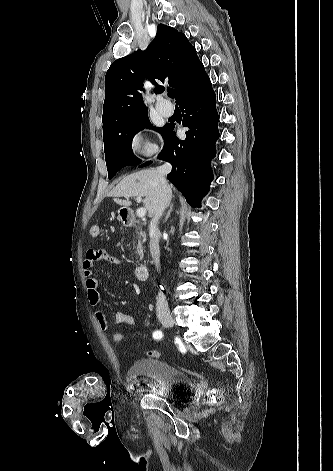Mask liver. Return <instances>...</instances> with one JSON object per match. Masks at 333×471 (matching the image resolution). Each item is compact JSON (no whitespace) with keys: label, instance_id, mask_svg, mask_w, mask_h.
I'll return each instance as SVG.
<instances>
[{"label":"liver","instance_id":"1","mask_svg":"<svg viewBox=\"0 0 333 471\" xmlns=\"http://www.w3.org/2000/svg\"><path fill=\"white\" fill-rule=\"evenodd\" d=\"M160 192L157 171L145 169L126 176L111 190L108 196L113 197L117 204L128 207L132 204L129 198L140 195L144 197L143 202L148 216L153 217ZM120 197H125L126 200L119 199Z\"/></svg>","mask_w":333,"mask_h":471}]
</instances>
